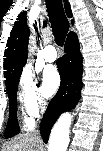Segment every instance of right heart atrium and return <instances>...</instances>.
Wrapping results in <instances>:
<instances>
[{"instance_id":"obj_1","label":"right heart atrium","mask_w":103,"mask_h":151,"mask_svg":"<svg viewBox=\"0 0 103 151\" xmlns=\"http://www.w3.org/2000/svg\"><path fill=\"white\" fill-rule=\"evenodd\" d=\"M20 100L24 114L30 119L37 117L46 106L40 87L28 73L20 81Z\"/></svg>"}]
</instances>
